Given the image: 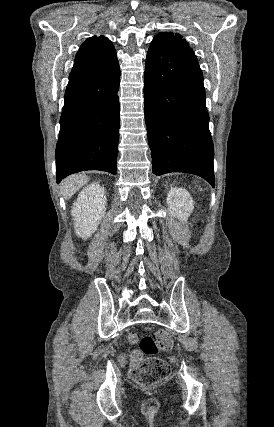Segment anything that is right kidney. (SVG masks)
<instances>
[{
  "label": "right kidney",
  "mask_w": 274,
  "mask_h": 427,
  "mask_svg": "<svg viewBox=\"0 0 274 427\" xmlns=\"http://www.w3.org/2000/svg\"><path fill=\"white\" fill-rule=\"evenodd\" d=\"M106 204V192L99 182L89 184L81 190L71 212L78 237H91L106 214Z\"/></svg>",
  "instance_id": "ca27d5eb"
}]
</instances>
